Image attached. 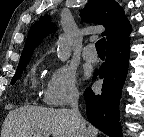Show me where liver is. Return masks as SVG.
Segmentation results:
<instances>
[{"label":"liver","instance_id":"1","mask_svg":"<svg viewBox=\"0 0 144 137\" xmlns=\"http://www.w3.org/2000/svg\"><path fill=\"white\" fill-rule=\"evenodd\" d=\"M84 124L86 125L85 120ZM99 130L88 125L86 137H96ZM1 137H77L69 109L24 106L10 111L2 126Z\"/></svg>","mask_w":144,"mask_h":137}]
</instances>
